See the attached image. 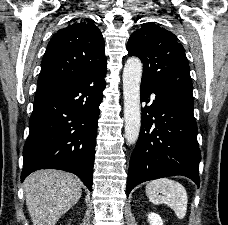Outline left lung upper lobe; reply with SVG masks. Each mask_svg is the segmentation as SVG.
<instances>
[{
	"label": "left lung upper lobe",
	"mask_w": 228,
	"mask_h": 225,
	"mask_svg": "<svg viewBox=\"0 0 228 225\" xmlns=\"http://www.w3.org/2000/svg\"><path fill=\"white\" fill-rule=\"evenodd\" d=\"M177 37L154 24L143 23L127 43L129 56L143 63L142 80L154 87L193 98L189 64Z\"/></svg>",
	"instance_id": "1"
}]
</instances>
